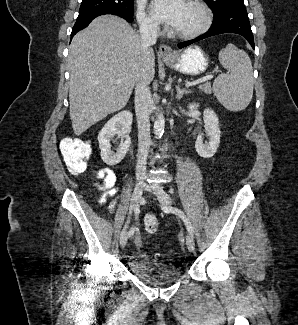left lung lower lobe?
I'll return each instance as SVG.
<instances>
[{
    "label": "left lung lower lobe",
    "instance_id": "left-lung-lower-lobe-1",
    "mask_svg": "<svg viewBox=\"0 0 298 325\" xmlns=\"http://www.w3.org/2000/svg\"><path fill=\"white\" fill-rule=\"evenodd\" d=\"M223 33H236L242 35L254 49L253 33L251 31L245 5L230 7L219 15L214 16L212 26L205 34L196 39L179 43L178 48H183L202 39Z\"/></svg>",
    "mask_w": 298,
    "mask_h": 325
}]
</instances>
